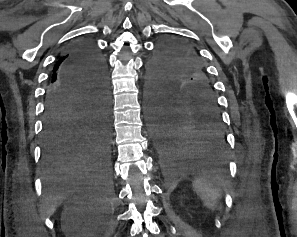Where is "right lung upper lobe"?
Masks as SVG:
<instances>
[{
	"label": "right lung upper lobe",
	"mask_w": 297,
	"mask_h": 237,
	"mask_svg": "<svg viewBox=\"0 0 297 237\" xmlns=\"http://www.w3.org/2000/svg\"><path fill=\"white\" fill-rule=\"evenodd\" d=\"M66 56H63L59 59V61L57 62V64L54 66V69H53V74H52V77H51V84L53 83H56L60 80L61 78V68L66 60Z\"/></svg>",
	"instance_id": "right-lung-upper-lobe-1"
}]
</instances>
